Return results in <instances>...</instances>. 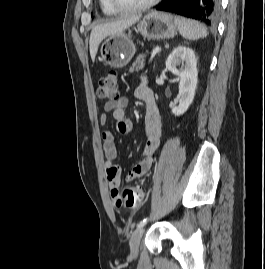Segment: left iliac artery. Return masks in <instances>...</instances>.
I'll use <instances>...</instances> for the list:
<instances>
[{"mask_svg": "<svg viewBox=\"0 0 265 269\" xmlns=\"http://www.w3.org/2000/svg\"><path fill=\"white\" fill-rule=\"evenodd\" d=\"M147 220H148V218H144L142 221H140L137 224V228L143 227L146 224Z\"/></svg>", "mask_w": 265, "mask_h": 269, "instance_id": "1", "label": "left iliac artery"}]
</instances>
